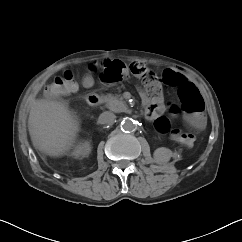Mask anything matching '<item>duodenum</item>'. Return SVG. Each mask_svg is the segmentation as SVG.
<instances>
[{
	"mask_svg": "<svg viewBox=\"0 0 242 242\" xmlns=\"http://www.w3.org/2000/svg\"><path fill=\"white\" fill-rule=\"evenodd\" d=\"M86 100L91 107H97L101 104V97L95 92L89 93L86 97Z\"/></svg>",
	"mask_w": 242,
	"mask_h": 242,
	"instance_id": "1",
	"label": "duodenum"
}]
</instances>
